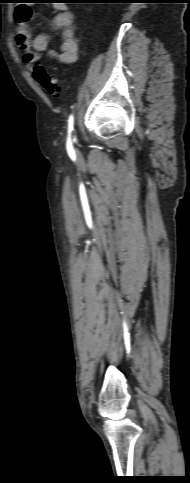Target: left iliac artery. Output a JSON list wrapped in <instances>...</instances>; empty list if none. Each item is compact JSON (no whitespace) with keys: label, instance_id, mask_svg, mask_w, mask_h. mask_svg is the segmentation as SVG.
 <instances>
[{"label":"left iliac artery","instance_id":"1","mask_svg":"<svg viewBox=\"0 0 190 483\" xmlns=\"http://www.w3.org/2000/svg\"><path fill=\"white\" fill-rule=\"evenodd\" d=\"M73 123H74L73 115H70L68 120V136H70L71 132L73 131Z\"/></svg>","mask_w":190,"mask_h":483}]
</instances>
